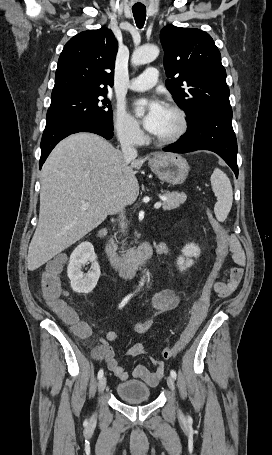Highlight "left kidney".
<instances>
[{
  "instance_id": "1",
  "label": "left kidney",
  "mask_w": 272,
  "mask_h": 455,
  "mask_svg": "<svg viewBox=\"0 0 272 455\" xmlns=\"http://www.w3.org/2000/svg\"><path fill=\"white\" fill-rule=\"evenodd\" d=\"M182 255L183 256H180L177 259V265H178L180 271H184L193 265L194 262L191 258L199 257L200 248L197 245H195L194 243L187 244L182 249Z\"/></svg>"
}]
</instances>
